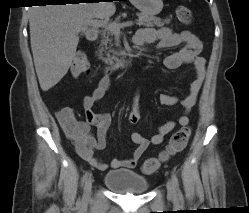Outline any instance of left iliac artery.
Wrapping results in <instances>:
<instances>
[{
  "instance_id": "obj_1",
  "label": "left iliac artery",
  "mask_w": 249,
  "mask_h": 213,
  "mask_svg": "<svg viewBox=\"0 0 249 213\" xmlns=\"http://www.w3.org/2000/svg\"><path fill=\"white\" fill-rule=\"evenodd\" d=\"M172 182L174 184L175 190L178 194H180V189H179V182L176 174L172 173Z\"/></svg>"
}]
</instances>
